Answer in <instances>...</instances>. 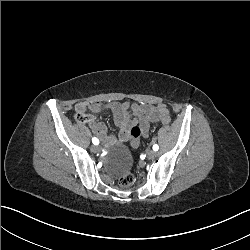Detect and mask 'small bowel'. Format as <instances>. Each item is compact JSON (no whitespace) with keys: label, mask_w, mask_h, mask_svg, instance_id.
Masks as SVG:
<instances>
[{"label":"small bowel","mask_w":250,"mask_h":250,"mask_svg":"<svg viewBox=\"0 0 250 250\" xmlns=\"http://www.w3.org/2000/svg\"><path fill=\"white\" fill-rule=\"evenodd\" d=\"M166 106L165 104H158ZM151 105H130L129 103H110L101 104L98 102H78L75 105L76 112H86L88 109L93 112H111L116 127L119 130L118 137L108 133L107 126L103 122L92 121L90 126L93 132L108 145L116 144L117 142H126L130 139V130L134 126H139L142 129V136L146 137L149 134L150 124L158 122L155 118L148 115V110Z\"/></svg>","instance_id":"1"}]
</instances>
